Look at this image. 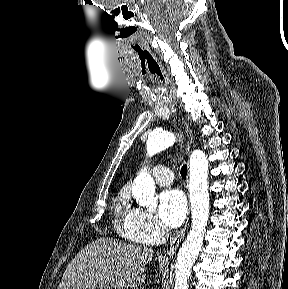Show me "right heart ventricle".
<instances>
[{"mask_svg":"<svg viewBox=\"0 0 288 289\" xmlns=\"http://www.w3.org/2000/svg\"><path fill=\"white\" fill-rule=\"evenodd\" d=\"M115 210L117 213V220L115 222V227L117 229V231L128 237L127 231H126V219L130 214L131 209H129L128 207V194L126 193L125 190H122L117 198H116V203H115Z\"/></svg>","mask_w":288,"mask_h":289,"instance_id":"e07e8e85","label":"right heart ventricle"}]
</instances>
